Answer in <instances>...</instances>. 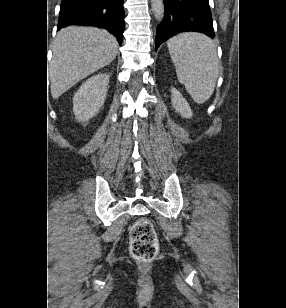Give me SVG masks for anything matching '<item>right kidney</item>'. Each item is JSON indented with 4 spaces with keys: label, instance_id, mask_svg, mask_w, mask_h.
<instances>
[{
    "label": "right kidney",
    "instance_id": "right-kidney-1",
    "mask_svg": "<svg viewBox=\"0 0 286 308\" xmlns=\"http://www.w3.org/2000/svg\"><path fill=\"white\" fill-rule=\"evenodd\" d=\"M109 75L98 74L86 80L73 98V113L80 122L94 117L103 106L108 90Z\"/></svg>",
    "mask_w": 286,
    "mask_h": 308
}]
</instances>
